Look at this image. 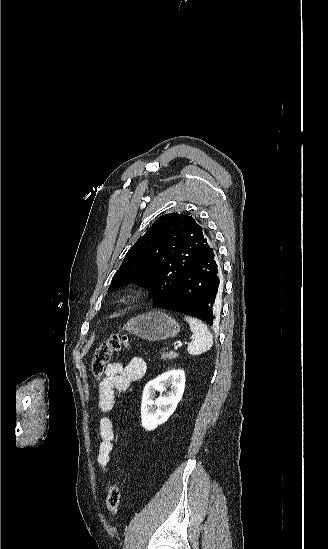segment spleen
<instances>
[{
  "label": "spleen",
  "instance_id": "obj_1",
  "mask_svg": "<svg viewBox=\"0 0 328 549\" xmlns=\"http://www.w3.org/2000/svg\"><path fill=\"white\" fill-rule=\"evenodd\" d=\"M184 319L189 323L191 333H193L192 341L187 347L189 355H201V353L209 351L214 339L207 325H204L202 321L195 319V317H188V315H185Z\"/></svg>",
  "mask_w": 328,
  "mask_h": 549
}]
</instances>
